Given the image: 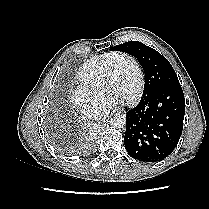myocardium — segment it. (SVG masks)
Listing matches in <instances>:
<instances>
[{"mask_svg": "<svg viewBox=\"0 0 209 209\" xmlns=\"http://www.w3.org/2000/svg\"><path fill=\"white\" fill-rule=\"evenodd\" d=\"M129 59L135 66L136 69V73H137V80H136V84L134 86V89L131 93V95L123 100L124 103H132L134 100H136V98L139 96L140 91L142 89V85H143V71L141 68L140 63L138 62V60L135 58V56H133L130 53H126V52H118L117 55L109 62L108 66L106 67V70L104 72L103 75V80H102V93L104 95H107V89H108V85L110 82V79L112 77L116 62L119 59Z\"/></svg>", "mask_w": 209, "mask_h": 209, "instance_id": "obj_1", "label": "myocardium"}]
</instances>
